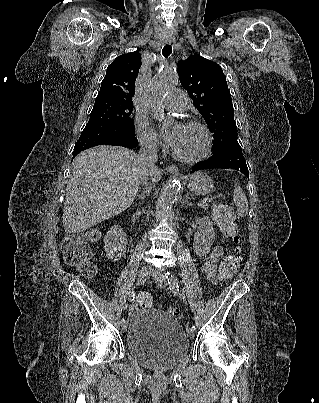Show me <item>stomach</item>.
I'll list each match as a JSON object with an SVG mask.
<instances>
[{
	"mask_svg": "<svg viewBox=\"0 0 319 403\" xmlns=\"http://www.w3.org/2000/svg\"><path fill=\"white\" fill-rule=\"evenodd\" d=\"M188 189L195 195H205L214 188L212 179L204 172H196L187 176Z\"/></svg>",
	"mask_w": 319,
	"mask_h": 403,
	"instance_id": "stomach-1",
	"label": "stomach"
}]
</instances>
